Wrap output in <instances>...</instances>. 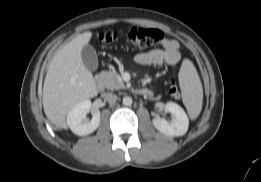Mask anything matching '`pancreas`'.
I'll return each mask as SVG.
<instances>
[{
  "mask_svg": "<svg viewBox=\"0 0 261 182\" xmlns=\"http://www.w3.org/2000/svg\"><path fill=\"white\" fill-rule=\"evenodd\" d=\"M100 76L104 81V85L109 90L125 89V84L120 78V75L116 71H103Z\"/></svg>",
  "mask_w": 261,
  "mask_h": 182,
  "instance_id": "1",
  "label": "pancreas"
}]
</instances>
